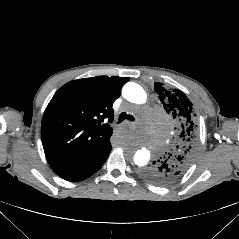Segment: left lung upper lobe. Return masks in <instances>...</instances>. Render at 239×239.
Listing matches in <instances>:
<instances>
[{"instance_id": "left-lung-upper-lobe-1", "label": "left lung upper lobe", "mask_w": 239, "mask_h": 239, "mask_svg": "<svg viewBox=\"0 0 239 239\" xmlns=\"http://www.w3.org/2000/svg\"><path fill=\"white\" fill-rule=\"evenodd\" d=\"M155 91L166 113L176 124L178 134L170 152L143 170L142 176L157 185H169L186 173L195 157L198 146L197 116L193 104L181 90L155 82Z\"/></svg>"}]
</instances>
